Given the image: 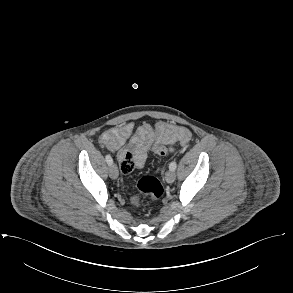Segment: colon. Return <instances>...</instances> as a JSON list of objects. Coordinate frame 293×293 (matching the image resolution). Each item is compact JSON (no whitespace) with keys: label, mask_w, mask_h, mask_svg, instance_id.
Here are the masks:
<instances>
[{"label":"colon","mask_w":293,"mask_h":293,"mask_svg":"<svg viewBox=\"0 0 293 293\" xmlns=\"http://www.w3.org/2000/svg\"><path fill=\"white\" fill-rule=\"evenodd\" d=\"M154 152L158 155H168L173 152V147L170 144L162 143L154 147ZM139 192L148 196L152 201H159L165 192L163 184L152 175L141 177L137 183ZM131 202L135 205L140 203L139 196H133Z\"/></svg>","instance_id":"1"}]
</instances>
